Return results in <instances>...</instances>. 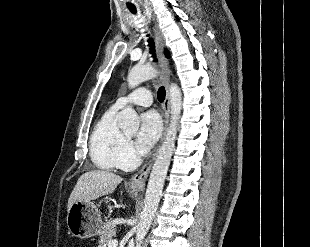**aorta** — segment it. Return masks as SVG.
<instances>
[{
    "label": "aorta",
    "instance_id": "aorta-1",
    "mask_svg": "<svg viewBox=\"0 0 310 247\" xmlns=\"http://www.w3.org/2000/svg\"><path fill=\"white\" fill-rule=\"evenodd\" d=\"M157 75L158 71L152 66H134L128 73L127 82L130 88H134L146 80L155 78ZM169 94L171 103L170 125L150 173L143 211L136 227L135 247H141L155 217L175 147L177 126L182 107V95L175 83H171ZM139 123V117L132 107H126L120 112L118 126L123 131L135 133L139 129Z\"/></svg>",
    "mask_w": 310,
    "mask_h": 247
}]
</instances>
